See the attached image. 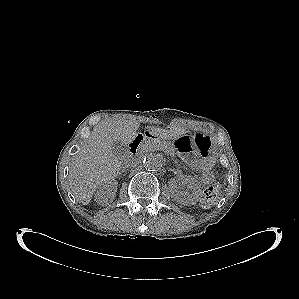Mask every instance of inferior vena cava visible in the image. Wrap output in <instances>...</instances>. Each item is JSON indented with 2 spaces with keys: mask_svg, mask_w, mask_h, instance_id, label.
Listing matches in <instances>:
<instances>
[{
  "mask_svg": "<svg viewBox=\"0 0 299 299\" xmlns=\"http://www.w3.org/2000/svg\"><path fill=\"white\" fill-rule=\"evenodd\" d=\"M138 162L136 160H130L126 162L127 167H135L137 166Z\"/></svg>",
  "mask_w": 299,
  "mask_h": 299,
  "instance_id": "602c4592",
  "label": "inferior vena cava"
}]
</instances>
